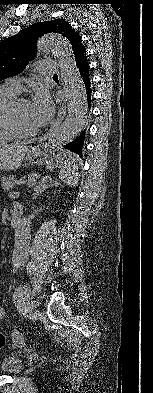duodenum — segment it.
<instances>
[{
	"mask_svg": "<svg viewBox=\"0 0 153 393\" xmlns=\"http://www.w3.org/2000/svg\"><path fill=\"white\" fill-rule=\"evenodd\" d=\"M20 218H21V215L19 212H16V211L13 212L12 218H11V224L13 227H17L19 225Z\"/></svg>",
	"mask_w": 153,
	"mask_h": 393,
	"instance_id": "duodenum-1",
	"label": "duodenum"
}]
</instances>
